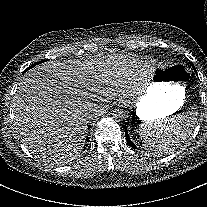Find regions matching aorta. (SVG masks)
<instances>
[{
  "mask_svg": "<svg viewBox=\"0 0 207 207\" xmlns=\"http://www.w3.org/2000/svg\"><path fill=\"white\" fill-rule=\"evenodd\" d=\"M112 115L116 121H126L129 118V111L124 106H121L113 110Z\"/></svg>",
  "mask_w": 207,
  "mask_h": 207,
  "instance_id": "obj_1",
  "label": "aorta"
}]
</instances>
